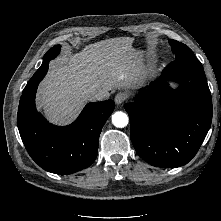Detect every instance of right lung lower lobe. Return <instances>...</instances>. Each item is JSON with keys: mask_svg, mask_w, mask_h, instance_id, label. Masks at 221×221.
Listing matches in <instances>:
<instances>
[{"mask_svg": "<svg viewBox=\"0 0 221 221\" xmlns=\"http://www.w3.org/2000/svg\"><path fill=\"white\" fill-rule=\"evenodd\" d=\"M47 70L48 65L40 67L24 88L17 125L29 155L40 167L56 174H70L89 167L96 159L102 127L115 103H89L71 125H51L35 108L36 90Z\"/></svg>", "mask_w": 221, "mask_h": 221, "instance_id": "1", "label": "right lung lower lobe"}]
</instances>
